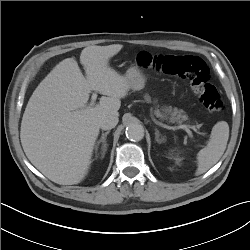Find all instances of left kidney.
Masks as SVG:
<instances>
[{
    "instance_id": "5707ae66",
    "label": "left kidney",
    "mask_w": 250,
    "mask_h": 250,
    "mask_svg": "<svg viewBox=\"0 0 250 250\" xmlns=\"http://www.w3.org/2000/svg\"><path fill=\"white\" fill-rule=\"evenodd\" d=\"M174 159L176 160L177 163H179L181 161V158H179V157H174Z\"/></svg>"
}]
</instances>
